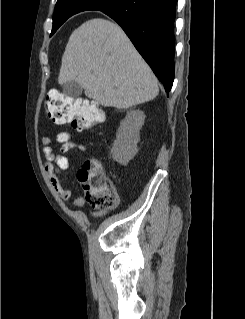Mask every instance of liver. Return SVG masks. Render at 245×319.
<instances>
[{
  "label": "liver",
  "instance_id": "6515ba94",
  "mask_svg": "<svg viewBox=\"0 0 245 319\" xmlns=\"http://www.w3.org/2000/svg\"><path fill=\"white\" fill-rule=\"evenodd\" d=\"M69 81L105 107L128 109L159 93L155 75L121 27L102 18L84 22L71 34L58 76L61 85Z\"/></svg>",
  "mask_w": 245,
  "mask_h": 319
}]
</instances>
